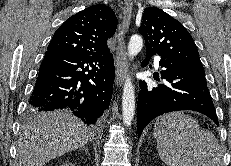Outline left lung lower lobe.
<instances>
[{"instance_id": "1", "label": "left lung lower lobe", "mask_w": 231, "mask_h": 166, "mask_svg": "<svg viewBox=\"0 0 231 166\" xmlns=\"http://www.w3.org/2000/svg\"><path fill=\"white\" fill-rule=\"evenodd\" d=\"M152 55V52L147 51V57L141 65L146 66ZM159 65L163 68L160 74L161 79L165 81L164 84L150 87L145 81H139L138 137L151 120L164 113L178 110L200 112L218 124L203 66L175 64L162 58ZM156 79L159 80V77Z\"/></svg>"}]
</instances>
